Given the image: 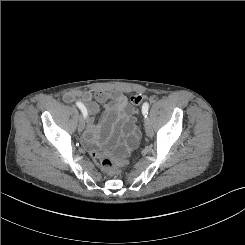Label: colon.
<instances>
[{
	"mask_svg": "<svg viewBox=\"0 0 245 245\" xmlns=\"http://www.w3.org/2000/svg\"><path fill=\"white\" fill-rule=\"evenodd\" d=\"M146 99L147 97L141 94H137L131 97L134 114L138 113V106ZM91 156L97 165H99L104 171L111 175L118 174L121 167L127 164L126 160H115L95 150L91 152Z\"/></svg>",
	"mask_w": 245,
	"mask_h": 245,
	"instance_id": "1",
	"label": "colon"
}]
</instances>
